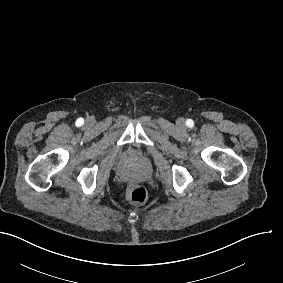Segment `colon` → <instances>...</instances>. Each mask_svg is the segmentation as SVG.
I'll return each mask as SVG.
<instances>
[{
  "label": "colon",
  "mask_w": 283,
  "mask_h": 283,
  "mask_svg": "<svg viewBox=\"0 0 283 283\" xmlns=\"http://www.w3.org/2000/svg\"><path fill=\"white\" fill-rule=\"evenodd\" d=\"M128 198L134 204H142L147 199V191L141 185H135L128 191Z\"/></svg>",
  "instance_id": "1"
}]
</instances>
